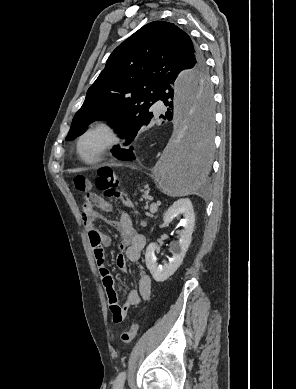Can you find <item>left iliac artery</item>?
<instances>
[{
	"label": "left iliac artery",
	"mask_w": 296,
	"mask_h": 389,
	"mask_svg": "<svg viewBox=\"0 0 296 389\" xmlns=\"http://www.w3.org/2000/svg\"><path fill=\"white\" fill-rule=\"evenodd\" d=\"M125 379H126V373L125 372L119 373L116 379V385H115L116 389H121L123 387Z\"/></svg>",
	"instance_id": "44dca946"
}]
</instances>
